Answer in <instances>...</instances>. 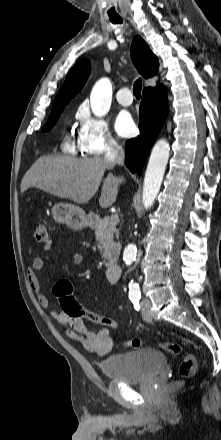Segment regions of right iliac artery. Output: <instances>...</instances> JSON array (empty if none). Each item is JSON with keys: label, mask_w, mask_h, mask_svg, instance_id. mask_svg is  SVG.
<instances>
[{"label": "right iliac artery", "mask_w": 221, "mask_h": 440, "mask_svg": "<svg viewBox=\"0 0 221 440\" xmlns=\"http://www.w3.org/2000/svg\"><path fill=\"white\" fill-rule=\"evenodd\" d=\"M139 299V297L131 298V301L134 304L136 310L140 309Z\"/></svg>", "instance_id": "82829eb1"}]
</instances>
